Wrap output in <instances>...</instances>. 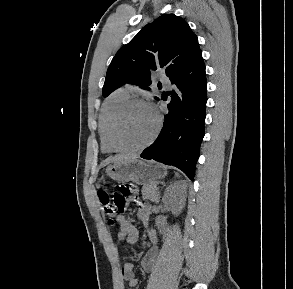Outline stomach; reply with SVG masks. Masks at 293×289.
I'll use <instances>...</instances> for the list:
<instances>
[{
	"instance_id": "obj_1",
	"label": "stomach",
	"mask_w": 293,
	"mask_h": 289,
	"mask_svg": "<svg viewBox=\"0 0 293 289\" xmlns=\"http://www.w3.org/2000/svg\"><path fill=\"white\" fill-rule=\"evenodd\" d=\"M107 175L117 182L133 181L137 184H151L167 175V169L153 161L130 159L113 162L106 169Z\"/></svg>"
}]
</instances>
